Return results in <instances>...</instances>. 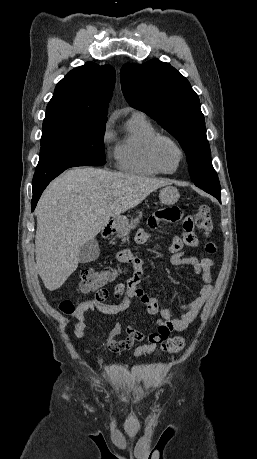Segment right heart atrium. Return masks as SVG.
<instances>
[{"instance_id": "1", "label": "right heart atrium", "mask_w": 257, "mask_h": 459, "mask_svg": "<svg viewBox=\"0 0 257 459\" xmlns=\"http://www.w3.org/2000/svg\"><path fill=\"white\" fill-rule=\"evenodd\" d=\"M112 138V131H111V127H110V124H106L105 126V129L103 131V140L104 142H109Z\"/></svg>"}]
</instances>
